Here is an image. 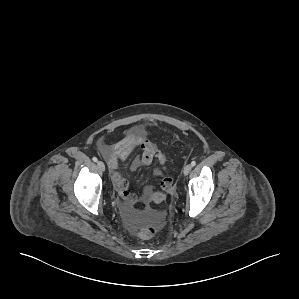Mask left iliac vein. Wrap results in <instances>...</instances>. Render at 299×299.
<instances>
[{"label":"left iliac vein","instance_id":"4c4485c4","mask_svg":"<svg viewBox=\"0 0 299 299\" xmlns=\"http://www.w3.org/2000/svg\"><path fill=\"white\" fill-rule=\"evenodd\" d=\"M191 169H192V165L187 164L183 169L184 175H188L190 173Z\"/></svg>","mask_w":299,"mask_h":299}]
</instances>
